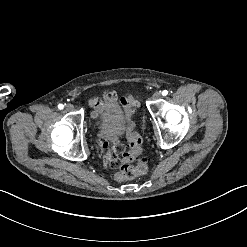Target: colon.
I'll return each mask as SVG.
<instances>
[{
    "label": "colon",
    "instance_id": "colon-1",
    "mask_svg": "<svg viewBox=\"0 0 247 247\" xmlns=\"http://www.w3.org/2000/svg\"><path fill=\"white\" fill-rule=\"evenodd\" d=\"M120 103L125 110V115L127 119V130L126 136L128 139L129 150L133 152L134 155L126 153L123 155L122 160L126 164H132L135 159L132 170L129 173H123L121 170L115 171L112 174V179L115 182H120L122 179L130 180L139 177H143L146 174V169L148 168V161L145 157L140 154L141 149V138L140 135L133 129L129 122V119L133 113L132 99L129 96H123L120 99Z\"/></svg>",
    "mask_w": 247,
    "mask_h": 247
}]
</instances>
